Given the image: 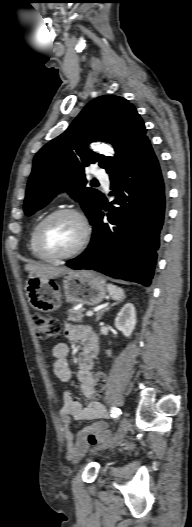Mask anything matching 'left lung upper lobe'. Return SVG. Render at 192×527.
<instances>
[{
  "instance_id": "left-lung-upper-lobe-1",
  "label": "left lung upper lobe",
  "mask_w": 192,
  "mask_h": 527,
  "mask_svg": "<svg viewBox=\"0 0 192 527\" xmlns=\"http://www.w3.org/2000/svg\"><path fill=\"white\" fill-rule=\"evenodd\" d=\"M145 134L143 120L125 98L109 95L92 100L63 134L36 154L26 190L25 213L33 214L65 190L80 202L93 224L102 196L98 190L85 186L84 167L96 163L109 175L117 173L138 146L148 140ZM91 141L111 143L115 157L79 145Z\"/></svg>"
}]
</instances>
